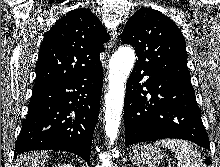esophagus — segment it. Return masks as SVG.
<instances>
[{"label":"esophagus","mask_w":220,"mask_h":167,"mask_svg":"<svg viewBox=\"0 0 220 167\" xmlns=\"http://www.w3.org/2000/svg\"><path fill=\"white\" fill-rule=\"evenodd\" d=\"M116 40H117V32L113 31L112 32V39H111V42L109 44V49H111L114 46V44L116 43Z\"/></svg>","instance_id":"obj_1"}]
</instances>
